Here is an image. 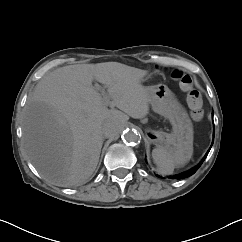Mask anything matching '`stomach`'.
I'll return each mask as SVG.
<instances>
[{
    "mask_svg": "<svg viewBox=\"0 0 242 242\" xmlns=\"http://www.w3.org/2000/svg\"><path fill=\"white\" fill-rule=\"evenodd\" d=\"M148 93L153 111L167 118L173 127L172 134L148 130L150 142L157 148L180 151V159L188 161L192 155L193 144V126L189 115L165 84L148 87Z\"/></svg>",
    "mask_w": 242,
    "mask_h": 242,
    "instance_id": "0dacf381",
    "label": "stomach"
}]
</instances>
